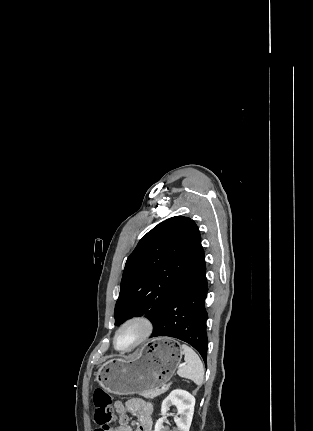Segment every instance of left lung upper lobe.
<instances>
[{
	"instance_id": "obj_1",
	"label": "left lung upper lobe",
	"mask_w": 313,
	"mask_h": 431,
	"mask_svg": "<svg viewBox=\"0 0 313 431\" xmlns=\"http://www.w3.org/2000/svg\"><path fill=\"white\" fill-rule=\"evenodd\" d=\"M203 259L201 235L193 220L175 216L158 224L126 261L114 311L115 325L142 313L154 324Z\"/></svg>"
}]
</instances>
